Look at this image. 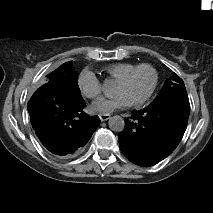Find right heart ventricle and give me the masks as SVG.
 <instances>
[{
    "label": "right heart ventricle",
    "instance_id": "1",
    "mask_svg": "<svg viewBox=\"0 0 213 213\" xmlns=\"http://www.w3.org/2000/svg\"><path fill=\"white\" fill-rule=\"evenodd\" d=\"M136 67L138 66L132 63H120L114 66L108 67L106 71L111 76V78L117 82L122 77L129 74Z\"/></svg>",
    "mask_w": 213,
    "mask_h": 213
}]
</instances>
